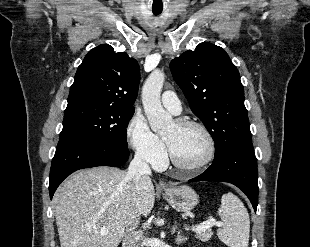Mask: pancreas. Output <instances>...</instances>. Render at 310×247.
Listing matches in <instances>:
<instances>
[{
    "label": "pancreas",
    "instance_id": "1",
    "mask_svg": "<svg viewBox=\"0 0 310 247\" xmlns=\"http://www.w3.org/2000/svg\"><path fill=\"white\" fill-rule=\"evenodd\" d=\"M213 235V232L211 229H206L204 231L197 232V238L203 242L209 241L211 236Z\"/></svg>",
    "mask_w": 310,
    "mask_h": 247
}]
</instances>
